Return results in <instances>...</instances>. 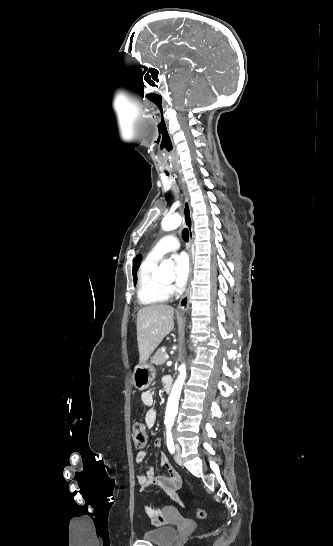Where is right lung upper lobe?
I'll return each mask as SVG.
<instances>
[{
	"label": "right lung upper lobe",
	"instance_id": "right-lung-upper-lobe-1",
	"mask_svg": "<svg viewBox=\"0 0 333 546\" xmlns=\"http://www.w3.org/2000/svg\"><path fill=\"white\" fill-rule=\"evenodd\" d=\"M140 262H141V255H138V256H136V258L134 259V263H133V264H137L138 267H139Z\"/></svg>",
	"mask_w": 333,
	"mask_h": 546
}]
</instances>
